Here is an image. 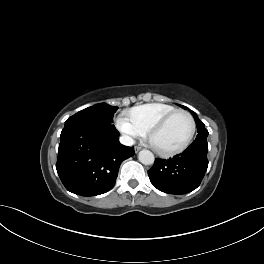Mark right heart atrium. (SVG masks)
Returning <instances> with one entry per match:
<instances>
[{
    "mask_svg": "<svg viewBox=\"0 0 264 264\" xmlns=\"http://www.w3.org/2000/svg\"><path fill=\"white\" fill-rule=\"evenodd\" d=\"M116 127L128 142H132L143 136L125 113L117 118Z\"/></svg>",
    "mask_w": 264,
    "mask_h": 264,
    "instance_id": "obj_1",
    "label": "right heart atrium"
}]
</instances>
